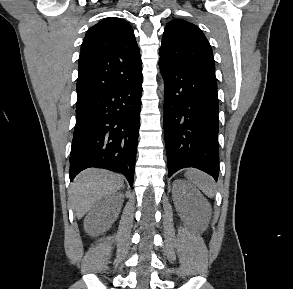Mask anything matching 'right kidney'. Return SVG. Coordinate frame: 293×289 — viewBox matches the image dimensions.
Returning <instances> with one entry per match:
<instances>
[{"mask_svg": "<svg viewBox=\"0 0 293 289\" xmlns=\"http://www.w3.org/2000/svg\"><path fill=\"white\" fill-rule=\"evenodd\" d=\"M122 202L121 198L109 209H106L109 203L105 201H100L93 206L84 220L86 232L89 235L97 236L108 230L116 220Z\"/></svg>", "mask_w": 293, "mask_h": 289, "instance_id": "right-kidney-1", "label": "right kidney"}]
</instances>
